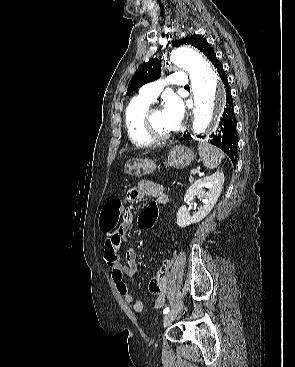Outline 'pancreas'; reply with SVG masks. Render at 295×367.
<instances>
[{"instance_id":"1","label":"pancreas","mask_w":295,"mask_h":367,"mask_svg":"<svg viewBox=\"0 0 295 367\" xmlns=\"http://www.w3.org/2000/svg\"><path fill=\"white\" fill-rule=\"evenodd\" d=\"M189 181H190V182H192V181H193V178H192L191 176L189 177Z\"/></svg>"}]
</instances>
